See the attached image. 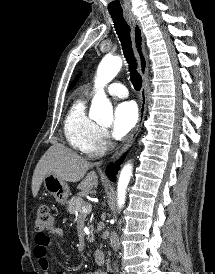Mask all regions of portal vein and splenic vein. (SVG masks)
<instances>
[{
  "mask_svg": "<svg viewBox=\"0 0 215 274\" xmlns=\"http://www.w3.org/2000/svg\"><path fill=\"white\" fill-rule=\"evenodd\" d=\"M91 211V204H85L82 208H81V212L82 213H89Z\"/></svg>",
  "mask_w": 215,
  "mask_h": 274,
  "instance_id": "1",
  "label": "portal vein and splenic vein"
}]
</instances>
